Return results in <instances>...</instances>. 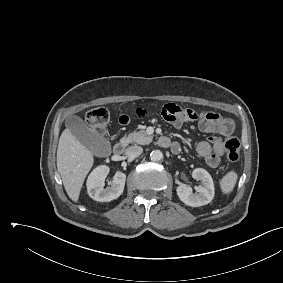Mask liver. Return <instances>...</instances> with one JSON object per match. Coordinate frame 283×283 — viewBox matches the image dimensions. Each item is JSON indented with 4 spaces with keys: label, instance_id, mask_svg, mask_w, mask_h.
I'll return each mask as SVG.
<instances>
[{
    "label": "liver",
    "instance_id": "1",
    "mask_svg": "<svg viewBox=\"0 0 283 283\" xmlns=\"http://www.w3.org/2000/svg\"><path fill=\"white\" fill-rule=\"evenodd\" d=\"M94 163L93 154L67 128L59 139L57 169L71 200L77 202L83 182Z\"/></svg>",
    "mask_w": 283,
    "mask_h": 283
}]
</instances>
